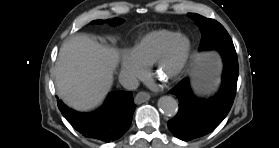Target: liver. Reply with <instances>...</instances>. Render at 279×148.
I'll use <instances>...</instances> for the list:
<instances>
[{
  "label": "liver",
  "instance_id": "1",
  "mask_svg": "<svg viewBox=\"0 0 279 148\" xmlns=\"http://www.w3.org/2000/svg\"><path fill=\"white\" fill-rule=\"evenodd\" d=\"M118 53L85 35L62 44L55 66L60 97L71 107L88 110L98 106L113 82Z\"/></svg>",
  "mask_w": 279,
  "mask_h": 148
}]
</instances>
